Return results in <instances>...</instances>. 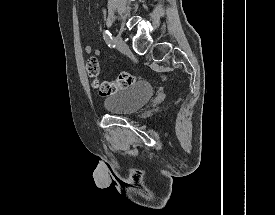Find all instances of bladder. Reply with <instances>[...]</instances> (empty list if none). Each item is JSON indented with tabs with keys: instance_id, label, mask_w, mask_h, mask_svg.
Instances as JSON below:
<instances>
[{
	"instance_id": "31cf9c89",
	"label": "bladder",
	"mask_w": 275,
	"mask_h": 215,
	"mask_svg": "<svg viewBox=\"0 0 275 215\" xmlns=\"http://www.w3.org/2000/svg\"><path fill=\"white\" fill-rule=\"evenodd\" d=\"M153 93L152 85L147 81H139L125 90L108 95L104 108L113 115L129 116L144 106Z\"/></svg>"
}]
</instances>
